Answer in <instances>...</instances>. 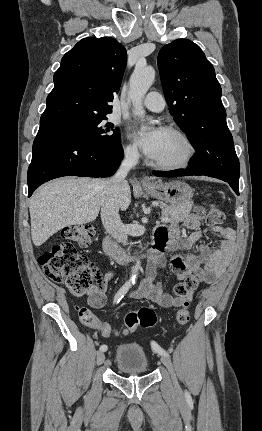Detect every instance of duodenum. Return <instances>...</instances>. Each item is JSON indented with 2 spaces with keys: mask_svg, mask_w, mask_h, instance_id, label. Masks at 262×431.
Instances as JSON below:
<instances>
[{
  "mask_svg": "<svg viewBox=\"0 0 262 431\" xmlns=\"http://www.w3.org/2000/svg\"><path fill=\"white\" fill-rule=\"evenodd\" d=\"M159 243H160L159 238L155 237V249L157 248ZM155 249H151L147 253L143 254V256L141 258L147 259L149 261V259L151 257H153V255L155 253ZM103 251H104L105 255L112 258L114 261H116L119 264L131 263L137 259L136 256L131 255V254L125 252L124 250H122L120 248V246L118 245V243L109 237L104 238Z\"/></svg>",
  "mask_w": 262,
  "mask_h": 431,
  "instance_id": "1",
  "label": "duodenum"
}]
</instances>
